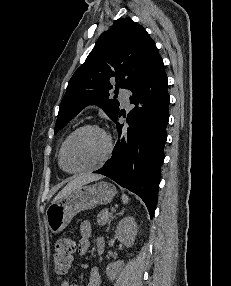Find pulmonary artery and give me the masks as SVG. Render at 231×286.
I'll return each instance as SVG.
<instances>
[{"label": "pulmonary artery", "instance_id": "1", "mask_svg": "<svg viewBox=\"0 0 231 286\" xmlns=\"http://www.w3.org/2000/svg\"><path fill=\"white\" fill-rule=\"evenodd\" d=\"M120 96H121L123 103L125 105H128L129 100H130V92L127 89H121L120 90Z\"/></svg>", "mask_w": 231, "mask_h": 286}]
</instances>
